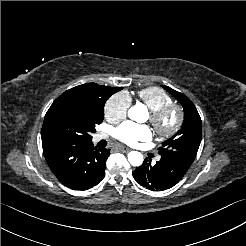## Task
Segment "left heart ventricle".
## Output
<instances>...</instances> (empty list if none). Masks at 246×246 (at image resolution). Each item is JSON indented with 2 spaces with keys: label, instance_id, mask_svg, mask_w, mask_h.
Segmentation results:
<instances>
[{
  "label": "left heart ventricle",
  "instance_id": "b2bd125f",
  "mask_svg": "<svg viewBox=\"0 0 246 246\" xmlns=\"http://www.w3.org/2000/svg\"><path fill=\"white\" fill-rule=\"evenodd\" d=\"M172 121H173V116H171V117L167 120L168 123H171Z\"/></svg>",
  "mask_w": 246,
  "mask_h": 246
}]
</instances>
